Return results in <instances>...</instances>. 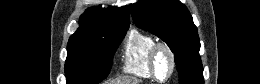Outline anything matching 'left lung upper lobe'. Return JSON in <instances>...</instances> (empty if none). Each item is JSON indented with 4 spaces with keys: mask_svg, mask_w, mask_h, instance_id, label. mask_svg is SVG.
I'll return each mask as SVG.
<instances>
[{
    "mask_svg": "<svg viewBox=\"0 0 260 84\" xmlns=\"http://www.w3.org/2000/svg\"><path fill=\"white\" fill-rule=\"evenodd\" d=\"M135 24L157 35L175 55L180 84H204L197 28L178 0H140L131 4Z\"/></svg>",
    "mask_w": 260,
    "mask_h": 84,
    "instance_id": "1",
    "label": "left lung upper lobe"
}]
</instances>
